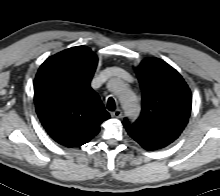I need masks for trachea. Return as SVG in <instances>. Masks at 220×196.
Listing matches in <instances>:
<instances>
[{"instance_id":"obj_1","label":"trachea","mask_w":220,"mask_h":196,"mask_svg":"<svg viewBox=\"0 0 220 196\" xmlns=\"http://www.w3.org/2000/svg\"><path fill=\"white\" fill-rule=\"evenodd\" d=\"M107 108L110 111H114L116 109L115 101L112 97L108 98Z\"/></svg>"}]
</instances>
